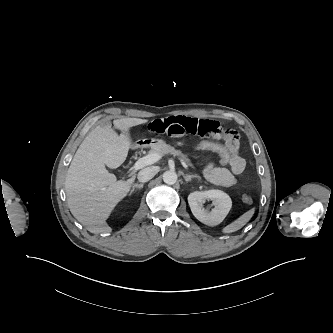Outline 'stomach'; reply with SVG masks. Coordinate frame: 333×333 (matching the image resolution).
Returning <instances> with one entry per match:
<instances>
[{"label": "stomach", "instance_id": "stomach-1", "mask_svg": "<svg viewBox=\"0 0 333 333\" xmlns=\"http://www.w3.org/2000/svg\"><path fill=\"white\" fill-rule=\"evenodd\" d=\"M158 142H162V141H161V140H158V139H149V140H147L146 143H148V145L153 146V145H155V144L158 143Z\"/></svg>", "mask_w": 333, "mask_h": 333}]
</instances>
